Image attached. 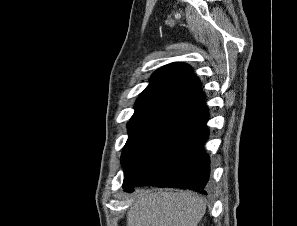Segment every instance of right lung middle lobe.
Returning <instances> with one entry per match:
<instances>
[{"label": "right lung middle lobe", "instance_id": "right-lung-middle-lobe-1", "mask_svg": "<svg viewBox=\"0 0 297 226\" xmlns=\"http://www.w3.org/2000/svg\"><path fill=\"white\" fill-rule=\"evenodd\" d=\"M167 121V119L146 118L133 120L128 123L129 137L121 156L124 176L135 167L154 137Z\"/></svg>", "mask_w": 297, "mask_h": 226}]
</instances>
